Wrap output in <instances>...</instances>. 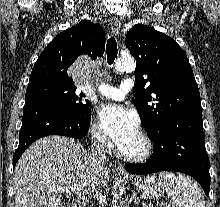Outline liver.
I'll return each mask as SVG.
<instances>
[{"label":"liver","mask_w":220,"mask_h":207,"mask_svg":"<svg viewBox=\"0 0 220 207\" xmlns=\"http://www.w3.org/2000/svg\"><path fill=\"white\" fill-rule=\"evenodd\" d=\"M110 169L92 165L90 153L74 139L48 136L34 142L14 170L15 207H63L58 186L81 197L106 186Z\"/></svg>","instance_id":"liver-1"}]
</instances>
